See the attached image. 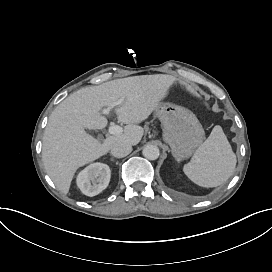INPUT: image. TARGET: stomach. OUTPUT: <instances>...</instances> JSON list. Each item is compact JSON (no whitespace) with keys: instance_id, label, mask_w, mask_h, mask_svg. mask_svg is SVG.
Segmentation results:
<instances>
[{"instance_id":"obj_1","label":"stomach","mask_w":272,"mask_h":272,"mask_svg":"<svg viewBox=\"0 0 272 272\" xmlns=\"http://www.w3.org/2000/svg\"><path fill=\"white\" fill-rule=\"evenodd\" d=\"M156 112L163 124V139L177 161L191 156L202 144L205 133L201 123L189 110L171 104L160 105Z\"/></svg>"}]
</instances>
